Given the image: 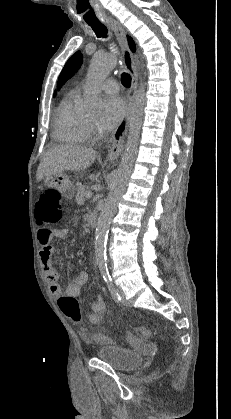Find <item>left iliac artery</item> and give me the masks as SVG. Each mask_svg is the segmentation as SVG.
Masks as SVG:
<instances>
[{"label": "left iliac artery", "mask_w": 231, "mask_h": 419, "mask_svg": "<svg viewBox=\"0 0 231 419\" xmlns=\"http://www.w3.org/2000/svg\"><path fill=\"white\" fill-rule=\"evenodd\" d=\"M100 271H101V274H102V276H103V278H104V280H105V282L107 284V287L109 289V292H110L112 298L116 302L121 301V297H120L117 289L113 285L112 278H111V276L109 274L107 265L106 264L100 265Z\"/></svg>", "instance_id": "left-iliac-artery-1"}]
</instances>
